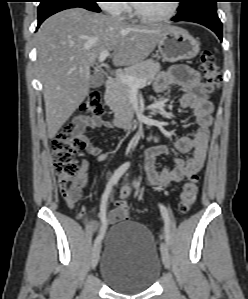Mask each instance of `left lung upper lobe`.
<instances>
[{
  "mask_svg": "<svg viewBox=\"0 0 248 299\" xmlns=\"http://www.w3.org/2000/svg\"><path fill=\"white\" fill-rule=\"evenodd\" d=\"M217 0H180L179 12L184 16H190L191 14L208 9H216Z\"/></svg>",
  "mask_w": 248,
  "mask_h": 299,
  "instance_id": "left-lung-upper-lobe-1",
  "label": "left lung upper lobe"
}]
</instances>
